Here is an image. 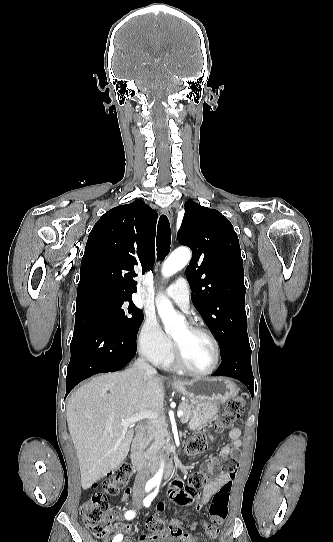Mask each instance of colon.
<instances>
[{"mask_svg": "<svg viewBox=\"0 0 333 542\" xmlns=\"http://www.w3.org/2000/svg\"><path fill=\"white\" fill-rule=\"evenodd\" d=\"M244 410V401L240 396L231 399L225 411L215 421L213 429L217 433H222L229 430L236 420L240 417ZM207 449V437L204 433H196L188 439L185 445V453L188 456H198ZM239 469L238 461L233 458H225L221 462V471L230 477H235ZM132 475V466L124 464L116 467L110 472V475L101 481L104 489L99 494L94 495L91 499L86 500L81 505V516L89 531L97 538L104 537L109 534V522L111 516L108 513V503L106 495L116 496L119 494L121 487L128 482ZM209 482L207 473L196 472L190 476V484L194 488H201ZM232 484L227 482L214 495L209 504L210 520L205 525V531L212 537L219 534L222 524L227 519L228 506ZM158 508L163 510L166 508V503L161 501L158 503ZM199 512V509H196ZM177 521L175 518L172 520ZM150 531H155V536L159 540L166 538L167 533L176 539H188L186 532L178 525L174 527L167 526L166 520L159 515L152 514L146 521V532L149 535Z\"/></svg>", "mask_w": 333, "mask_h": 542, "instance_id": "colon-1", "label": "colon"}]
</instances>
